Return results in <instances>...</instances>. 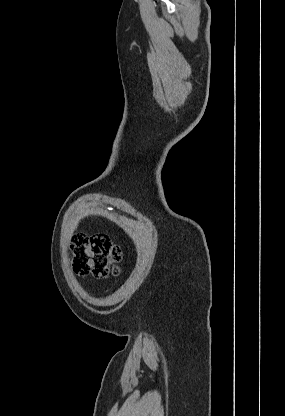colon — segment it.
I'll use <instances>...</instances> for the list:
<instances>
[{
  "instance_id": "5ec220e1",
  "label": "colon",
  "mask_w": 285,
  "mask_h": 416,
  "mask_svg": "<svg viewBox=\"0 0 285 416\" xmlns=\"http://www.w3.org/2000/svg\"><path fill=\"white\" fill-rule=\"evenodd\" d=\"M73 270L77 275L104 278L117 275L121 260V248L104 234H78L71 243Z\"/></svg>"
}]
</instances>
